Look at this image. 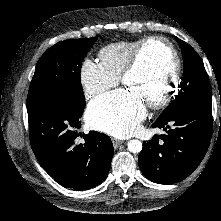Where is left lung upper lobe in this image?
<instances>
[{
    "mask_svg": "<svg viewBox=\"0 0 221 221\" xmlns=\"http://www.w3.org/2000/svg\"><path fill=\"white\" fill-rule=\"evenodd\" d=\"M176 39L182 48L184 60L181 89L175 100L161 113L160 119L173 116L192 106L211 107L212 103L209 78L200 56L189 44L177 37Z\"/></svg>",
    "mask_w": 221,
    "mask_h": 221,
    "instance_id": "left-lung-upper-lobe-1",
    "label": "left lung upper lobe"
}]
</instances>
